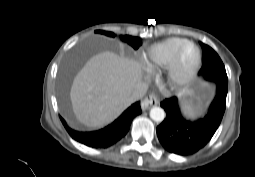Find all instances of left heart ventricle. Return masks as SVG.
<instances>
[{"label":"left heart ventricle","mask_w":255,"mask_h":177,"mask_svg":"<svg viewBox=\"0 0 255 177\" xmlns=\"http://www.w3.org/2000/svg\"><path fill=\"white\" fill-rule=\"evenodd\" d=\"M194 58V50L192 47H188L183 55L182 64H181V72H184L187 67L191 64Z\"/></svg>","instance_id":"b2bd125f"}]
</instances>
